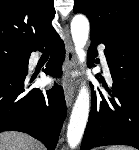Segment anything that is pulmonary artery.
<instances>
[{
	"label": "pulmonary artery",
	"mask_w": 139,
	"mask_h": 150,
	"mask_svg": "<svg viewBox=\"0 0 139 150\" xmlns=\"http://www.w3.org/2000/svg\"><path fill=\"white\" fill-rule=\"evenodd\" d=\"M98 50H99V56H100L101 62L104 66V70L107 74H109V69H108L107 60H106V56H105V53H104L103 45H99Z\"/></svg>",
	"instance_id": "pulmonary-artery-1"
}]
</instances>
